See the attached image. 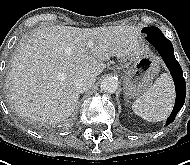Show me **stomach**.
<instances>
[{
	"label": "stomach",
	"mask_w": 190,
	"mask_h": 165,
	"mask_svg": "<svg viewBox=\"0 0 190 165\" xmlns=\"http://www.w3.org/2000/svg\"><path fill=\"white\" fill-rule=\"evenodd\" d=\"M159 73L158 61L151 56L135 58L124 72V95L127 98H140L151 87Z\"/></svg>",
	"instance_id": "obj_1"
}]
</instances>
